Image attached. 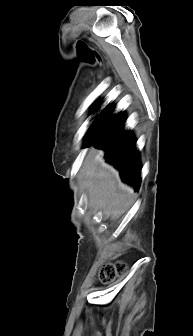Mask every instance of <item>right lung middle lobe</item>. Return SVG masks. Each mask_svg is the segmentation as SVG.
Returning <instances> with one entry per match:
<instances>
[{
	"instance_id": "obj_1",
	"label": "right lung middle lobe",
	"mask_w": 193,
	"mask_h": 336,
	"mask_svg": "<svg viewBox=\"0 0 193 336\" xmlns=\"http://www.w3.org/2000/svg\"><path fill=\"white\" fill-rule=\"evenodd\" d=\"M111 110L105 111L98 119L94 120L88 131V138L92 140L98 137L103 131L109 120Z\"/></svg>"
}]
</instances>
